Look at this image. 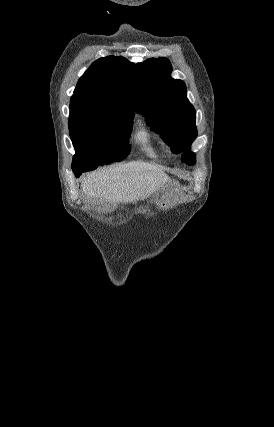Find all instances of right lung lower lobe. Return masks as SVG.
Returning a JSON list of instances; mask_svg holds the SVG:
<instances>
[{"mask_svg": "<svg viewBox=\"0 0 274 427\" xmlns=\"http://www.w3.org/2000/svg\"><path fill=\"white\" fill-rule=\"evenodd\" d=\"M72 170L75 173L76 177H79L82 172L90 171L88 168L85 167H73Z\"/></svg>", "mask_w": 274, "mask_h": 427, "instance_id": "obj_1", "label": "right lung lower lobe"}]
</instances>
